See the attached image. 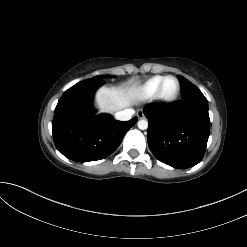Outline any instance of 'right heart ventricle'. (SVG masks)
Listing matches in <instances>:
<instances>
[{"label": "right heart ventricle", "instance_id": "e07e8e85", "mask_svg": "<svg viewBox=\"0 0 247 247\" xmlns=\"http://www.w3.org/2000/svg\"><path fill=\"white\" fill-rule=\"evenodd\" d=\"M164 76H153L149 78L144 84L138 89L137 94L141 99H150L156 95V92L164 79Z\"/></svg>", "mask_w": 247, "mask_h": 247}]
</instances>
